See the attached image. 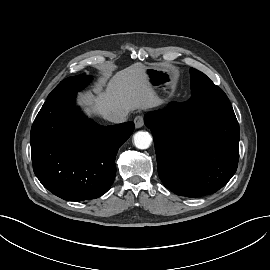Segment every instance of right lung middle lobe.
Segmentation results:
<instances>
[{
	"mask_svg": "<svg viewBox=\"0 0 270 270\" xmlns=\"http://www.w3.org/2000/svg\"><path fill=\"white\" fill-rule=\"evenodd\" d=\"M91 81L89 75H78L61 81L49 94L47 100L62 99L69 95L76 94Z\"/></svg>",
	"mask_w": 270,
	"mask_h": 270,
	"instance_id": "dd1d6c3e",
	"label": "right lung middle lobe"
}]
</instances>
